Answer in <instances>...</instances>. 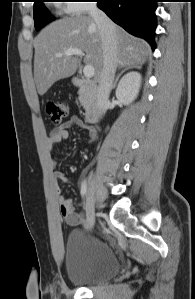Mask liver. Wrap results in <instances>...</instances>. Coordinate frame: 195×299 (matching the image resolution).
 I'll use <instances>...</instances> for the list:
<instances>
[{
	"instance_id": "liver-1",
	"label": "liver",
	"mask_w": 195,
	"mask_h": 299,
	"mask_svg": "<svg viewBox=\"0 0 195 299\" xmlns=\"http://www.w3.org/2000/svg\"><path fill=\"white\" fill-rule=\"evenodd\" d=\"M115 25V24H114ZM118 41L117 67L145 63L151 50L147 42L115 25ZM34 80L39 95H44L58 80L72 76L80 64L77 55L57 57L67 49L85 52V63L94 67L99 81L103 69V50L99 29L90 16H70L45 27L34 40Z\"/></svg>"
}]
</instances>
